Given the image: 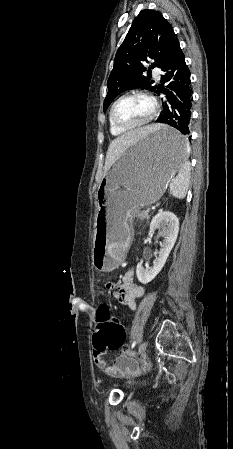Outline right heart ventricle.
Instances as JSON below:
<instances>
[{"mask_svg":"<svg viewBox=\"0 0 233 449\" xmlns=\"http://www.w3.org/2000/svg\"><path fill=\"white\" fill-rule=\"evenodd\" d=\"M109 130L113 136H120L126 132V131H120V130L116 129L111 123H109Z\"/></svg>","mask_w":233,"mask_h":449,"instance_id":"1","label":"right heart ventricle"}]
</instances>
